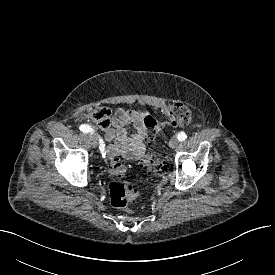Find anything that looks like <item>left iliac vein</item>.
Returning <instances> with one entry per match:
<instances>
[{
    "instance_id": "obj_1",
    "label": "left iliac vein",
    "mask_w": 275,
    "mask_h": 275,
    "mask_svg": "<svg viewBox=\"0 0 275 275\" xmlns=\"http://www.w3.org/2000/svg\"><path fill=\"white\" fill-rule=\"evenodd\" d=\"M169 145L171 148H176L179 145V139L177 137H172Z\"/></svg>"
}]
</instances>
